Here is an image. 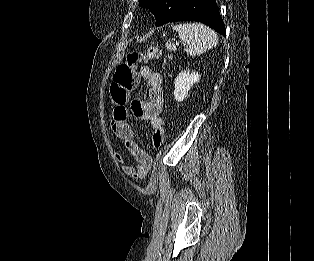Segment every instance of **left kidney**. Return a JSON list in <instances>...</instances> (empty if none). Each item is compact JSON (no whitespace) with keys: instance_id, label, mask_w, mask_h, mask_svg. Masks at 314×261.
<instances>
[{"instance_id":"5707ae66","label":"left kidney","mask_w":314,"mask_h":261,"mask_svg":"<svg viewBox=\"0 0 314 261\" xmlns=\"http://www.w3.org/2000/svg\"><path fill=\"white\" fill-rule=\"evenodd\" d=\"M200 74L189 70H184L179 73L174 81V97L177 102H182L188 95V91L195 83L200 80Z\"/></svg>"}]
</instances>
